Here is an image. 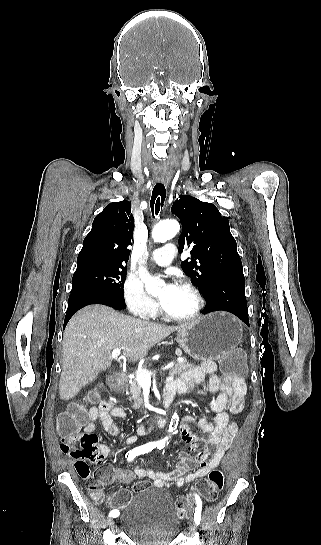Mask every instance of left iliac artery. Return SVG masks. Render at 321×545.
Listing matches in <instances>:
<instances>
[{
  "label": "left iliac artery",
  "instance_id": "obj_1",
  "mask_svg": "<svg viewBox=\"0 0 321 545\" xmlns=\"http://www.w3.org/2000/svg\"><path fill=\"white\" fill-rule=\"evenodd\" d=\"M158 448H161V447H158ZM196 500H197V508L194 514V520H195V523L198 525L200 524V520H201L202 503L199 498H196Z\"/></svg>",
  "mask_w": 321,
  "mask_h": 545
}]
</instances>
